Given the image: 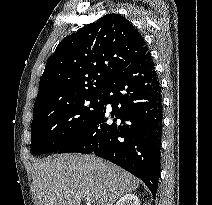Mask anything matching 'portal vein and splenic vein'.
I'll list each match as a JSON object with an SVG mask.
<instances>
[{
    "label": "portal vein and splenic vein",
    "mask_w": 212,
    "mask_h": 205,
    "mask_svg": "<svg viewBox=\"0 0 212 205\" xmlns=\"http://www.w3.org/2000/svg\"><path fill=\"white\" fill-rule=\"evenodd\" d=\"M86 201H87L88 205H90L91 199L90 198H86Z\"/></svg>",
    "instance_id": "18ae733b"
}]
</instances>
